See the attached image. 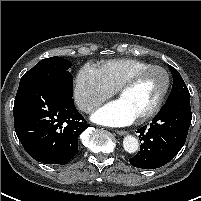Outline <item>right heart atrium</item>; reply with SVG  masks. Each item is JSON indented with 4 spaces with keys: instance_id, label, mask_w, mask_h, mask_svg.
<instances>
[{
    "instance_id": "d8ad5b80",
    "label": "right heart atrium",
    "mask_w": 201,
    "mask_h": 201,
    "mask_svg": "<svg viewBox=\"0 0 201 201\" xmlns=\"http://www.w3.org/2000/svg\"><path fill=\"white\" fill-rule=\"evenodd\" d=\"M114 92L106 84L98 68L85 65L78 71L74 83V98L83 112L92 113L111 98Z\"/></svg>"
}]
</instances>
